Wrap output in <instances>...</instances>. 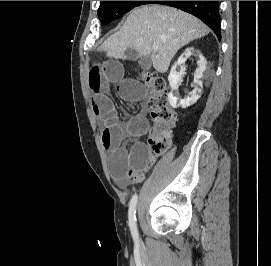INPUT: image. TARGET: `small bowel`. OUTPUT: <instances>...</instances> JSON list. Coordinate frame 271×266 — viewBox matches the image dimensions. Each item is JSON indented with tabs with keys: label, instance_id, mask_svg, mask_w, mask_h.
Returning <instances> with one entry per match:
<instances>
[{
	"label": "small bowel",
	"instance_id": "obj_1",
	"mask_svg": "<svg viewBox=\"0 0 271 266\" xmlns=\"http://www.w3.org/2000/svg\"><path fill=\"white\" fill-rule=\"evenodd\" d=\"M89 88L92 93L91 109L101 126V140L109 152V168L120 187L139 183L155 163L145 144L134 141L130 146L125 139H140L148 133L149 124L144 112L126 122L119 120L111 98L112 87L127 101H141L146 97L143 87L134 79L124 77V67L117 60H108L93 66L89 71Z\"/></svg>",
	"mask_w": 271,
	"mask_h": 266
}]
</instances>
